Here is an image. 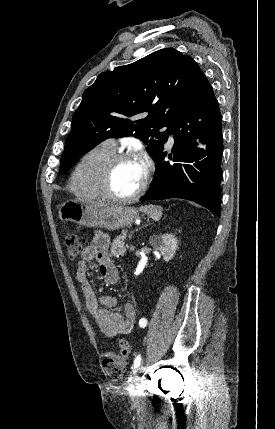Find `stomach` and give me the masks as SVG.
Instances as JSON below:
<instances>
[{
  "mask_svg": "<svg viewBox=\"0 0 275 429\" xmlns=\"http://www.w3.org/2000/svg\"><path fill=\"white\" fill-rule=\"evenodd\" d=\"M58 215L64 223L72 221L82 226L101 227L111 231L128 226L139 218L138 211L132 207L112 205L94 208L77 200L63 203Z\"/></svg>",
  "mask_w": 275,
  "mask_h": 429,
  "instance_id": "stomach-1",
  "label": "stomach"
}]
</instances>
